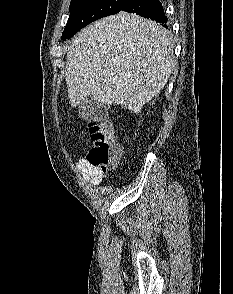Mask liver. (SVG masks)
I'll list each match as a JSON object with an SVG mask.
<instances>
[{
	"mask_svg": "<svg viewBox=\"0 0 233 294\" xmlns=\"http://www.w3.org/2000/svg\"><path fill=\"white\" fill-rule=\"evenodd\" d=\"M66 60L72 107L92 95L99 106L120 104L135 114L159 93L176 63L172 41L162 26L126 12L80 31Z\"/></svg>",
	"mask_w": 233,
	"mask_h": 294,
	"instance_id": "obj_1",
	"label": "liver"
}]
</instances>
